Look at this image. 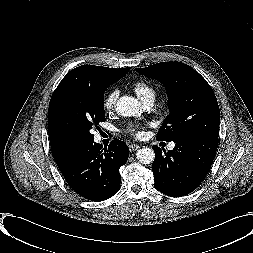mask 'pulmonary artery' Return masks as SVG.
<instances>
[{
    "mask_svg": "<svg viewBox=\"0 0 253 253\" xmlns=\"http://www.w3.org/2000/svg\"><path fill=\"white\" fill-rule=\"evenodd\" d=\"M153 104H154V99H149V100L143 102V107H144L146 110H149V109L152 108ZM174 146H175L174 143H170L169 146H168V148H169L170 150H172V149L174 148Z\"/></svg>",
    "mask_w": 253,
    "mask_h": 253,
    "instance_id": "e3ab8cb5",
    "label": "pulmonary artery"
}]
</instances>
